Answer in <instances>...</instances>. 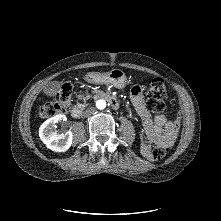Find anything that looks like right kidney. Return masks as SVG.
Listing matches in <instances>:
<instances>
[{"mask_svg": "<svg viewBox=\"0 0 221 221\" xmlns=\"http://www.w3.org/2000/svg\"><path fill=\"white\" fill-rule=\"evenodd\" d=\"M66 120L65 115H56L46 120L39 128L40 139L52 151L65 152L72 144L73 134L71 131L61 134H58L56 131V123Z\"/></svg>", "mask_w": 221, "mask_h": 221, "instance_id": "1", "label": "right kidney"}]
</instances>
